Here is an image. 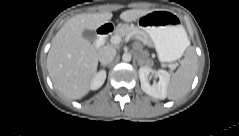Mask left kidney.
I'll return each mask as SVG.
<instances>
[{
  "label": "left kidney",
  "mask_w": 239,
  "mask_h": 136,
  "mask_svg": "<svg viewBox=\"0 0 239 136\" xmlns=\"http://www.w3.org/2000/svg\"><path fill=\"white\" fill-rule=\"evenodd\" d=\"M150 73H154L159 77L158 83L150 85L148 76ZM139 78L141 82V89L157 99H165L167 96V88L170 81V74L165 70H158L157 72L152 70L150 67L142 66L139 69Z\"/></svg>",
  "instance_id": "5707ae66"
}]
</instances>
